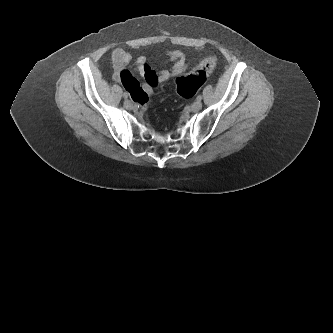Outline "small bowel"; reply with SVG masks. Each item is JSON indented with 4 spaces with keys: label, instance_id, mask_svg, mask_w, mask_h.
Wrapping results in <instances>:
<instances>
[{
    "label": "small bowel",
    "instance_id": "1",
    "mask_svg": "<svg viewBox=\"0 0 333 333\" xmlns=\"http://www.w3.org/2000/svg\"><path fill=\"white\" fill-rule=\"evenodd\" d=\"M111 57L115 71L114 79L122 82L127 91L131 93L132 99L140 105L146 104L149 96L159 84L181 75L187 68L185 54L178 49L167 52V57L173 62V66L158 72L150 66L145 56H139L135 61V69L143 79L141 88H139V82L127 69L132 60L130 53L116 48L113 50Z\"/></svg>",
    "mask_w": 333,
    "mask_h": 333
}]
</instances>
